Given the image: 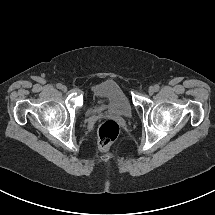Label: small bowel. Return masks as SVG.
Returning <instances> with one entry per match:
<instances>
[{
  "mask_svg": "<svg viewBox=\"0 0 215 215\" xmlns=\"http://www.w3.org/2000/svg\"><path fill=\"white\" fill-rule=\"evenodd\" d=\"M91 121L93 122V121H94V119H93V118H91Z\"/></svg>",
  "mask_w": 215,
  "mask_h": 215,
  "instance_id": "obj_1",
  "label": "small bowel"
}]
</instances>
